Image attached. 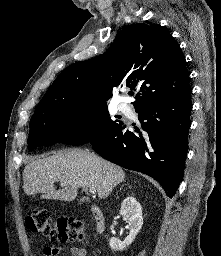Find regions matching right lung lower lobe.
<instances>
[{
	"label": "right lung lower lobe",
	"instance_id": "right-lung-lower-lobe-1",
	"mask_svg": "<svg viewBox=\"0 0 221 256\" xmlns=\"http://www.w3.org/2000/svg\"><path fill=\"white\" fill-rule=\"evenodd\" d=\"M191 92L151 100L136 110L145 133L135 134L122 122L89 143L100 156L157 180L172 197L182 179L191 125Z\"/></svg>",
	"mask_w": 221,
	"mask_h": 256
}]
</instances>
